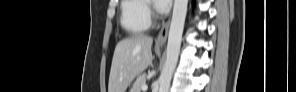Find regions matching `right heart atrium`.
I'll use <instances>...</instances> for the list:
<instances>
[{
    "label": "right heart atrium",
    "instance_id": "obj_1",
    "mask_svg": "<svg viewBox=\"0 0 296 92\" xmlns=\"http://www.w3.org/2000/svg\"><path fill=\"white\" fill-rule=\"evenodd\" d=\"M146 14H147L148 18L151 16V10L149 7H146Z\"/></svg>",
    "mask_w": 296,
    "mask_h": 92
}]
</instances>
